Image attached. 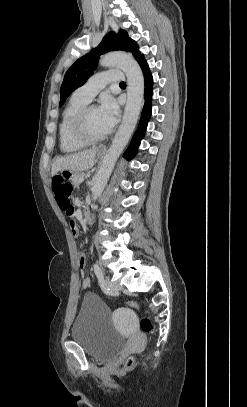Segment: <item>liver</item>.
Masks as SVG:
<instances>
[{"label":"liver","instance_id":"liver-1","mask_svg":"<svg viewBox=\"0 0 247 407\" xmlns=\"http://www.w3.org/2000/svg\"><path fill=\"white\" fill-rule=\"evenodd\" d=\"M97 151L98 148H92L78 153L69 154L64 157H58L52 165V176L63 170L81 172L91 169L95 164Z\"/></svg>","mask_w":247,"mask_h":407}]
</instances>
